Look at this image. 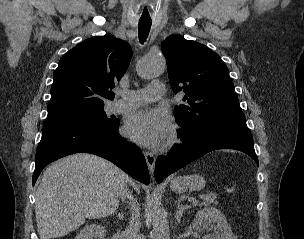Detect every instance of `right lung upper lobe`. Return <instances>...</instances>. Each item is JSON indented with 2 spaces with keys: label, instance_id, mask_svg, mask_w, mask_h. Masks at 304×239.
Masks as SVG:
<instances>
[{
  "label": "right lung upper lobe",
  "instance_id": "cb5924a9",
  "mask_svg": "<svg viewBox=\"0 0 304 239\" xmlns=\"http://www.w3.org/2000/svg\"><path fill=\"white\" fill-rule=\"evenodd\" d=\"M130 45L113 36H95L68 51L53 74L48 117L104 106L128 68Z\"/></svg>",
  "mask_w": 304,
  "mask_h": 239
}]
</instances>
